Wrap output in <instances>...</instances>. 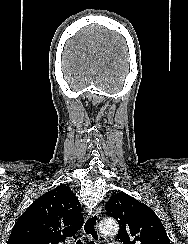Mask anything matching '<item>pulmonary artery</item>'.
Masks as SVG:
<instances>
[{"label":"pulmonary artery","instance_id":"1","mask_svg":"<svg viewBox=\"0 0 188 244\" xmlns=\"http://www.w3.org/2000/svg\"><path fill=\"white\" fill-rule=\"evenodd\" d=\"M110 244H122V243H120V242H112Z\"/></svg>","mask_w":188,"mask_h":244}]
</instances>
